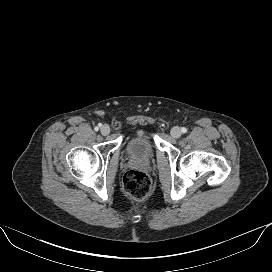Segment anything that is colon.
Here are the masks:
<instances>
[{"label":"colon","instance_id":"5ec220e1","mask_svg":"<svg viewBox=\"0 0 272 272\" xmlns=\"http://www.w3.org/2000/svg\"><path fill=\"white\" fill-rule=\"evenodd\" d=\"M124 192L133 200L145 199L151 191L149 176L139 170H129L125 173L122 181Z\"/></svg>","mask_w":272,"mask_h":272}]
</instances>
